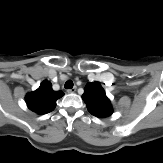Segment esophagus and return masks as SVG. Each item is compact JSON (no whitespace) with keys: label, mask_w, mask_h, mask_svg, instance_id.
<instances>
[{"label":"esophagus","mask_w":163,"mask_h":163,"mask_svg":"<svg viewBox=\"0 0 163 163\" xmlns=\"http://www.w3.org/2000/svg\"><path fill=\"white\" fill-rule=\"evenodd\" d=\"M68 93H74L76 92V87H73L72 89L67 90Z\"/></svg>","instance_id":"obj_1"}]
</instances>
